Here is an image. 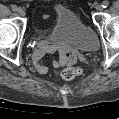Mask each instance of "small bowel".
Returning <instances> with one entry per match:
<instances>
[{"instance_id": "obj_1", "label": "small bowel", "mask_w": 119, "mask_h": 119, "mask_svg": "<svg viewBox=\"0 0 119 119\" xmlns=\"http://www.w3.org/2000/svg\"><path fill=\"white\" fill-rule=\"evenodd\" d=\"M44 18H48V15H44ZM55 52H59L58 59H54L52 62L53 67L56 69L71 66L76 62V55L71 48L60 47L48 41L38 42L31 54L34 67L38 73L46 74L48 72L47 66L43 63V57L46 54Z\"/></svg>"}]
</instances>
